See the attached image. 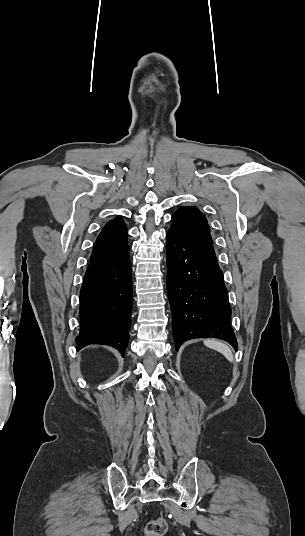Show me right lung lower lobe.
<instances>
[{"instance_id": "98d812e1", "label": "right lung lower lobe", "mask_w": 305, "mask_h": 536, "mask_svg": "<svg viewBox=\"0 0 305 536\" xmlns=\"http://www.w3.org/2000/svg\"><path fill=\"white\" fill-rule=\"evenodd\" d=\"M129 246L93 256L80 290V334L77 349L99 343L128 346L132 310Z\"/></svg>"}]
</instances>
